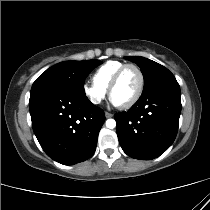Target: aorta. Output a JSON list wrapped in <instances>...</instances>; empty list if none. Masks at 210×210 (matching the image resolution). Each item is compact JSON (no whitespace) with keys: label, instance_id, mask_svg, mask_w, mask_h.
Wrapping results in <instances>:
<instances>
[{"label":"aorta","instance_id":"1","mask_svg":"<svg viewBox=\"0 0 210 210\" xmlns=\"http://www.w3.org/2000/svg\"><path fill=\"white\" fill-rule=\"evenodd\" d=\"M106 127L109 129H113L116 127V121L114 119H108L106 121Z\"/></svg>","mask_w":210,"mask_h":210}]
</instances>
